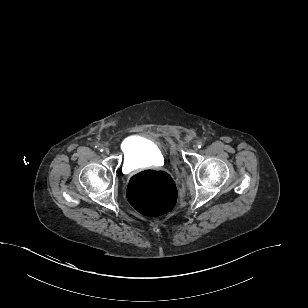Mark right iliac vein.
<instances>
[{
    "mask_svg": "<svg viewBox=\"0 0 308 308\" xmlns=\"http://www.w3.org/2000/svg\"><path fill=\"white\" fill-rule=\"evenodd\" d=\"M109 149L108 148H104V153L109 154Z\"/></svg>",
    "mask_w": 308,
    "mask_h": 308,
    "instance_id": "obj_1",
    "label": "right iliac vein"
}]
</instances>
